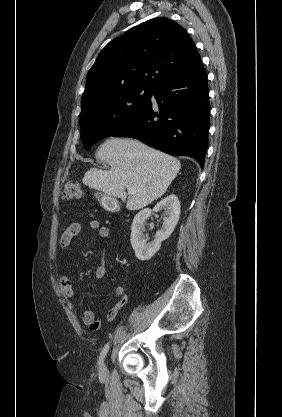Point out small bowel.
<instances>
[{"label":"small bowel","instance_id":"1","mask_svg":"<svg viewBox=\"0 0 282 417\" xmlns=\"http://www.w3.org/2000/svg\"><path fill=\"white\" fill-rule=\"evenodd\" d=\"M89 227L92 230H97L98 234L101 238L107 239L110 237V228L108 226H100L99 222L97 220H91L89 223ZM81 231V223L74 221L71 222L67 228L62 233L60 240H59V246L60 251H65L69 245L71 244L74 237H76ZM95 276L98 280H105L107 278V270L104 266H99L96 268ZM60 286L64 293V295L67 298H73L75 296V292L73 289L72 281L71 279L65 275L62 274L60 276ZM112 295L116 298H118L117 302L109 309L107 313V319L108 321H113L118 311L121 307H123L127 301H128V295L125 292V289L122 285H117L112 290ZM83 322L91 331H97L100 328V321L97 318L96 312L93 310H87L83 313Z\"/></svg>","mask_w":282,"mask_h":417}]
</instances>
